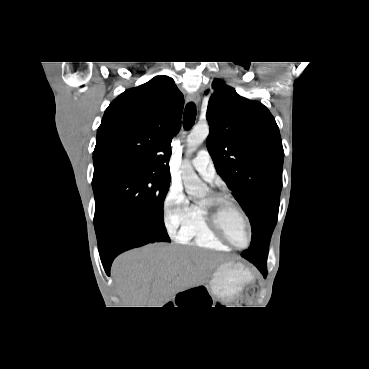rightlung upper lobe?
I'll list each match as a JSON object with an SVG mask.
<instances>
[{
    "mask_svg": "<svg viewBox=\"0 0 369 369\" xmlns=\"http://www.w3.org/2000/svg\"><path fill=\"white\" fill-rule=\"evenodd\" d=\"M183 106L182 93L165 75L120 94L97 130L94 167L130 166L170 177V145Z\"/></svg>",
    "mask_w": 369,
    "mask_h": 369,
    "instance_id": "cb5924a9",
    "label": "right lung upper lobe"
}]
</instances>
